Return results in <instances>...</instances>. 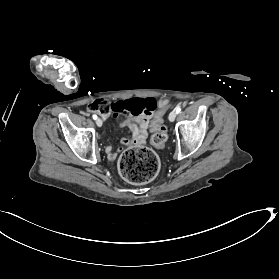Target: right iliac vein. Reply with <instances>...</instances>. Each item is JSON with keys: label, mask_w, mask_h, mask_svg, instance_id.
Returning a JSON list of instances; mask_svg holds the SVG:
<instances>
[{"label": "right iliac vein", "mask_w": 279, "mask_h": 279, "mask_svg": "<svg viewBox=\"0 0 279 279\" xmlns=\"http://www.w3.org/2000/svg\"><path fill=\"white\" fill-rule=\"evenodd\" d=\"M96 124L98 127H101L102 126V120L100 118L96 119Z\"/></svg>", "instance_id": "right-iliac-vein-1"}]
</instances>
